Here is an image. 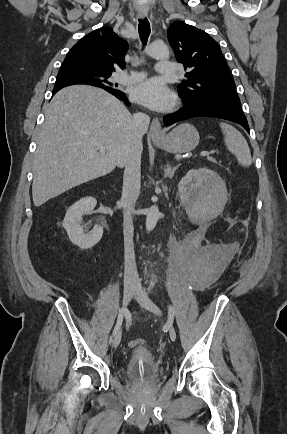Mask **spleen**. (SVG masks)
I'll return each instance as SVG.
<instances>
[{
	"mask_svg": "<svg viewBox=\"0 0 287 434\" xmlns=\"http://www.w3.org/2000/svg\"><path fill=\"white\" fill-rule=\"evenodd\" d=\"M220 127L228 150L235 155L241 166L249 167L252 164V157L246 139L237 129L227 123L221 122Z\"/></svg>",
	"mask_w": 287,
	"mask_h": 434,
	"instance_id": "1",
	"label": "spleen"
}]
</instances>
